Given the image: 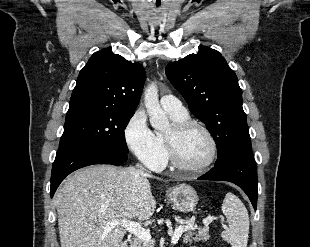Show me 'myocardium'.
Returning <instances> with one entry per match:
<instances>
[{
    "label": "myocardium",
    "mask_w": 310,
    "mask_h": 247,
    "mask_svg": "<svg viewBox=\"0 0 310 247\" xmlns=\"http://www.w3.org/2000/svg\"><path fill=\"white\" fill-rule=\"evenodd\" d=\"M199 129L208 138L211 145V154L209 159L198 167H190L185 165L179 158L177 150V139L185 132ZM165 143L167 147L168 157L174 167L179 170L185 171L189 174L197 175L205 172L210 168L217 159L218 156V146L215 137L211 131L202 123L193 120L176 121L172 125V132L169 135H165Z\"/></svg>",
    "instance_id": "myocardium-1"
}]
</instances>
